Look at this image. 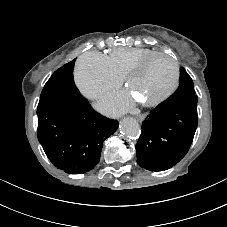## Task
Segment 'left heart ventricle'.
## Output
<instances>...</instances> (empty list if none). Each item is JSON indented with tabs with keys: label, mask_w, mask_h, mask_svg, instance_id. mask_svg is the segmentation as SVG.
I'll use <instances>...</instances> for the list:
<instances>
[{
	"label": "left heart ventricle",
	"mask_w": 227,
	"mask_h": 227,
	"mask_svg": "<svg viewBox=\"0 0 227 227\" xmlns=\"http://www.w3.org/2000/svg\"><path fill=\"white\" fill-rule=\"evenodd\" d=\"M172 80V63L165 57H157L135 75L130 87L137 99L143 101L167 90Z\"/></svg>",
	"instance_id": "left-heart-ventricle-1"
}]
</instances>
